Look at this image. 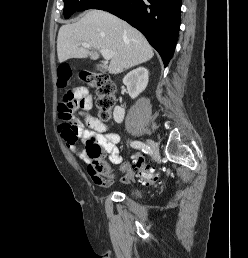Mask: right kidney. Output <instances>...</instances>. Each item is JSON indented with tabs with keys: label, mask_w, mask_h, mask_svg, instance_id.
<instances>
[{
	"label": "right kidney",
	"mask_w": 248,
	"mask_h": 258,
	"mask_svg": "<svg viewBox=\"0 0 248 258\" xmlns=\"http://www.w3.org/2000/svg\"><path fill=\"white\" fill-rule=\"evenodd\" d=\"M148 70L139 67L130 71L123 79L124 85L127 87L128 93L132 99H135L141 92L145 90L148 84ZM125 116V109L116 106L113 111L115 122L121 123Z\"/></svg>",
	"instance_id": "right-kidney-1"
}]
</instances>
